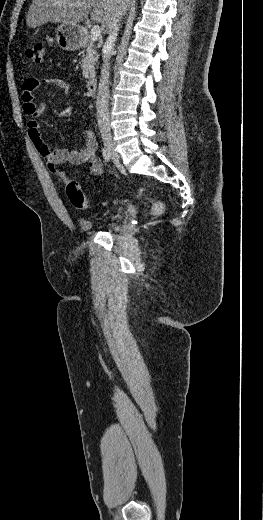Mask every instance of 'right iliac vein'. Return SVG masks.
I'll use <instances>...</instances> for the list:
<instances>
[{"label":"right iliac vein","mask_w":263,"mask_h":520,"mask_svg":"<svg viewBox=\"0 0 263 520\" xmlns=\"http://www.w3.org/2000/svg\"><path fill=\"white\" fill-rule=\"evenodd\" d=\"M101 136H102V140H103V143H104V146H105L107 152L109 153V155L111 156V158L113 159L115 164L119 165L120 164V159H119V156H118V154L116 153V151L114 149V145H113V142H112V138H111L110 132L107 131V130H103L102 133H101Z\"/></svg>","instance_id":"1"}]
</instances>
